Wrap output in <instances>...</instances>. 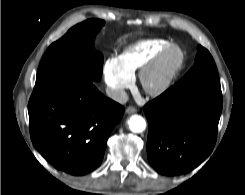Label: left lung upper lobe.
<instances>
[{"label": "left lung upper lobe", "instance_id": "obj_1", "mask_svg": "<svg viewBox=\"0 0 245 195\" xmlns=\"http://www.w3.org/2000/svg\"><path fill=\"white\" fill-rule=\"evenodd\" d=\"M183 89L221 94L220 80L211 54L201 45L195 63L178 84Z\"/></svg>", "mask_w": 245, "mask_h": 195}]
</instances>
